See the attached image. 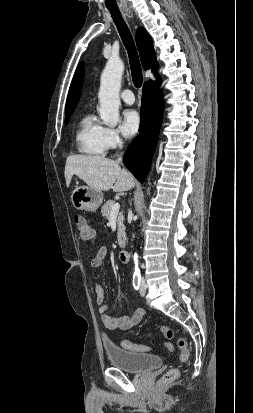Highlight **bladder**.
Instances as JSON below:
<instances>
[{"label": "bladder", "mask_w": 253, "mask_h": 413, "mask_svg": "<svg viewBox=\"0 0 253 413\" xmlns=\"http://www.w3.org/2000/svg\"><path fill=\"white\" fill-rule=\"evenodd\" d=\"M103 348L110 364L126 372L141 373L162 365L159 355L129 351L108 340L103 342Z\"/></svg>", "instance_id": "bladder-1"}]
</instances>
